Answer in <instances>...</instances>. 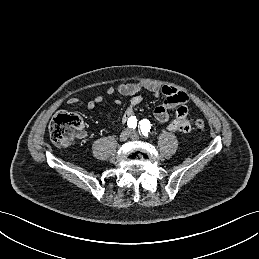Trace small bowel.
Returning <instances> with one entry per match:
<instances>
[{"label":"small bowel","mask_w":259,"mask_h":259,"mask_svg":"<svg viewBox=\"0 0 259 259\" xmlns=\"http://www.w3.org/2000/svg\"><path fill=\"white\" fill-rule=\"evenodd\" d=\"M142 91H148L155 96L162 95L164 97V101L155 107L154 117L160 123L169 122L167 125L169 131L183 133L191 131V123L187 118L188 108L186 106L189 96L185 92L170 85L160 86L148 82H128L121 83L116 88H108L107 95L109 96L117 92L120 95L130 97V105L123 114V121H128V119L133 116L135 108L141 104L143 100L141 95ZM78 101V98H71L69 103L75 104ZM102 101V95L89 100L87 103V109L93 110ZM169 110H175V118L171 121H169ZM85 136V132L82 131L79 133L80 138H84Z\"/></svg>","instance_id":"small-bowel-1"}]
</instances>
